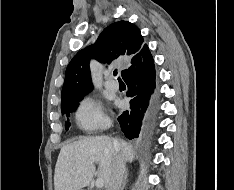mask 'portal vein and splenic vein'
I'll list each match as a JSON object with an SVG mask.
<instances>
[{
  "label": "portal vein and splenic vein",
  "mask_w": 234,
  "mask_h": 190,
  "mask_svg": "<svg viewBox=\"0 0 234 190\" xmlns=\"http://www.w3.org/2000/svg\"><path fill=\"white\" fill-rule=\"evenodd\" d=\"M103 184H104V182H103V179H102V178H98V179L96 180L95 185H96L97 188H102V187H103Z\"/></svg>",
  "instance_id": "18ae733b"
}]
</instances>
